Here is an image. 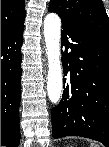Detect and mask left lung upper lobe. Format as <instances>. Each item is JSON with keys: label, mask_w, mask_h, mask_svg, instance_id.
I'll list each match as a JSON object with an SVG mask.
<instances>
[{"label": "left lung upper lobe", "mask_w": 109, "mask_h": 147, "mask_svg": "<svg viewBox=\"0 0 109 147\" xmlns=\"http://www.w3.org/2000/svg\"><path fill=\"white\" fill-rule=\"evenodd\" d=\"M50 12L57 13L62 20L109 40V18L101 0H51ZM70 86L79 90L77 74L68 75Z\"/></svg>", "instance_id": "5c2ea615"}]
</instances>
